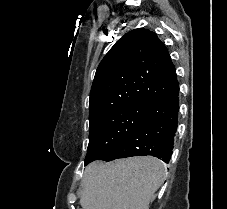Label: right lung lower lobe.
Masks as SVG:
<instances>
[{"instance_id": "98d812e1", "label": "right lung lower lobe", "mask_w": 227, "mask_h": 209, "mask_svg": "<svg viewBox=\"0 0 227 209\" xmlns=\"http://www.w3.org/2000/svg\"><path fill=\"white\" fill-rule=\"evenodd\" d=\"M166 75L174 88L152 100L142 122L101 160L151 155L169 162L179 110V86L174 65L166 69Z\"/></svg>"}]
</instances>
